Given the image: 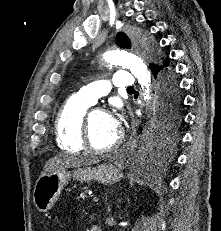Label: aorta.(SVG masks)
I'll return each mask as SVG.
<instances>
[{
  "label": "aorta",
  "mask_w": 221,
  "mask_h": 231,
  "mask_svg": "<svg viewBox=\"0 0 221 231\" xmlns=\"http://www.w3.org/2000/svg\"><path fill=\"white\" fill-rule=\"evenodd\" d=\"M104 59L114 65L125 67L137 78L144 90V100H150L151 74L143 60L123 49H113L103 55Z\"/></svg>",
  "instance_id": "762f6f07"
}]
</instances>
